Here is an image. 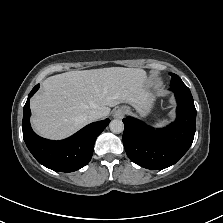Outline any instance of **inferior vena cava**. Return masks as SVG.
<instances>
[{
    "mask_svg": "<svg viewBox=\"0 0 223 223\" xmlns=\"http://www.w3.org/2000/svg\"><path fill=\"white\" fill-rule=\"evenodd\" d=\"M89 120L91 121H96L98 119L103 118V113L102 111L96 109V110H92L90 111L89 115H88Z\"/></svg>",
    "mask_w": 223,
    "mask_h": 223,
    "instance_id": "1",
    "label": "inferior vena cava"
}]
</instances>
